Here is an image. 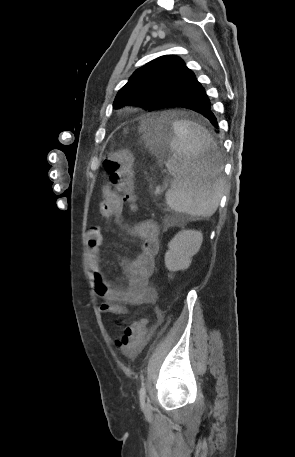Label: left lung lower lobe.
<instances>
[{"instance_id": "obj_1", "label": "left lung lower lobe", "mask_w": 295, "mask_h": 457, "mask_svg": "<svg viewBox=\"0 0 295 457\" xmlns=\"http://www.w3.org/2000/svg\"><path fill=\"white\" fill-rule=\"evenodd\" d=\"M190 76L189 85L181 89L178 93L161 101L156 110L166 107H183L191 109L202 114L215 128H218L217 119L211 109V103L205 89L197 81L193 72L190 73ZM212 162L213 161H210L209 163Z\"/></svg>"}]
</instances>
